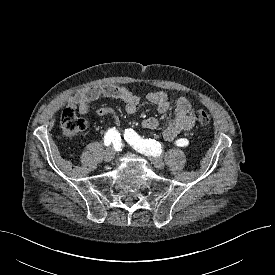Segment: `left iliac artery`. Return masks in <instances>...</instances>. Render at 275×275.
I'll return each mask as SVG.
<instances>
[{"instance_id": "1", "label": "left iliac artery", "mask_w": 275, "mask_h": 275, "mask_svg": "<svg viewBox=\"0 0 275 275\" xmlns=\"http://www.w3.org/2000/svg\"><path fill=\"white\" fill-rule=\"evenodd\" d=\"M124 139L138 151L149 155H157L161 148L159 142L153 139H143L132 129L125 130ZM175 144L179 147H186L189 141L185 138H181L178 139Z\"/></svg>"}]
</instances>
